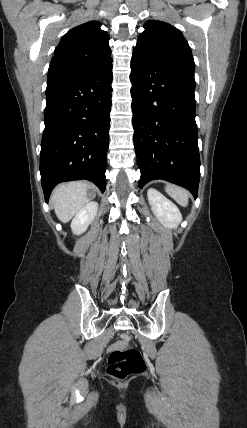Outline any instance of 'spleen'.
I'll list each match as a JSON object with an SVG mask.
<instances>
[{
    "label": "spleen",
    "instance_id": "spleen-1",
    "mask_svg": "<svg viewBox=\"0 0 247 428\" xmlns=\"http://www.w3.org/2000/svg\"><path fill=\"white\" fill-rule=\"evenodd\" d=\"M166 192L181 206L186 207L188 205L189 192L186 189L168 184L166 186Z\"/></svg>",
    "mask_w": 247,
    "mask_h": 428
}]
</instances>
